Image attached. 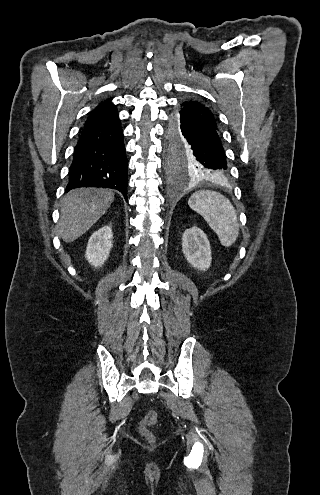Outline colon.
<instances>
[{
  "instance_id": "5ec220e1",
  "label": "colon",
  "mask_w": 320,
  "mask_h": 495,
  "mask_svg": "<svg viewBox=\"0 0 320 495\" xmlns=\"http://www.w3.org/2000/svg\"><path fill=\"white\" fill-rule=\"evenodd\" d=\"M157 413L154 410H151L147 413V415L141 420L140 423V432L141 434L146 437L148 440L153 439L152 433L149 431V427L153 426L157 422Z\"/></svg>"
}]
</instances>
